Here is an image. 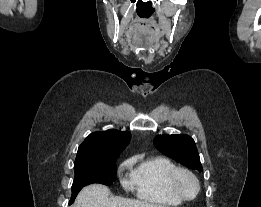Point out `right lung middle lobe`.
Returning <instances> with one entry per match:
<instances>
[{
  "label": "right lung middle lobe",
  "mask_w": 261,
  "mask_h": 207,
  "mask_svg": "<svg viewBox=\"0 0 261 207\" xmlns=\"http://www.w3.org/2000/svg\"><path fill=\"white\" fill-rule=\"evenodd\" d=\"M108 162L82 163L74 165L75 178L72 185L70 204L74 202L80 190L89 184L100 183L110 186L116 180V160Z\"/></svg>",
  "instance_id": "right-lung-middle-lobe-1"
}]
</instances>
